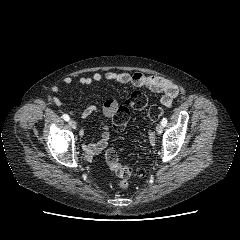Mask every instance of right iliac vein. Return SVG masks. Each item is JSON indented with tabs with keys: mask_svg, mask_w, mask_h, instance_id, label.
<instances>
[{
	"mask_svg": "<svg viewBox=\"0 0 240 240\" xmlns=\"http://www.w3.org/2000/svg\"><path fill=\"white\" fill-rule=\"evenodd\" d=\"M69 125L71 126L72 129H76L77 128V124L74 120H69Z\"/></svg>",
	"mask_w": 240,
	"mask_h": 240,
	"instance_id": "63e3f726",
	"label": "right iliac vein"
}]
</instances>
